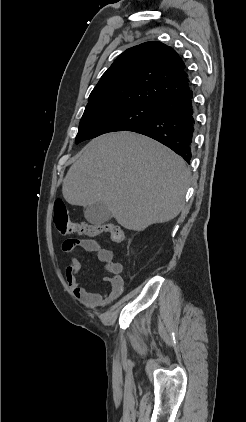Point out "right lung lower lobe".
Instances as JSON below:
<instances>
[{
    "label": "right lung lower lobe",
    "instance_id": "98d812e1",
    "mask_svg": "<svg viewBox=\"0 0 246 422\" xmlns=\"http://www.w3.org/2000/svg\"><path fill=\"white\" fill-rule=\"evenodd\" d=\"M194 126L193 93L190 89L159 103L156 116L128 131L140 133L161 142L190 163Z\"/></svg>",
    "mask_w": 246,
    "mask_h": 422
}]
</instances>
